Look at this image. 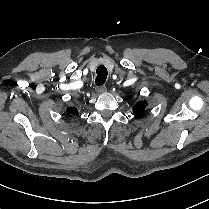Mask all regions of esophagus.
Returning a JSON list of instances; mask_svg holds the SVG:
<instances>
[{"mask_svg":"<svg viewBox=\"0 0 209 209\" xmlns=\"http://www.w3.org/2000/svg\"><path fill=\"white\" fill-rule=\"evenodd\" d=\"M106 90H107V88H106L105 85L97 86V87H96V91H97L98 93H104Z\"/></svg>","mask_w":209,"mask_h":209,"instance_id":"34e87169","label":"esophagus"}]
</instances>
